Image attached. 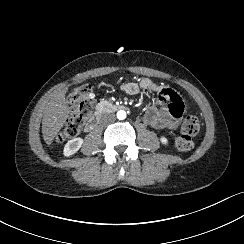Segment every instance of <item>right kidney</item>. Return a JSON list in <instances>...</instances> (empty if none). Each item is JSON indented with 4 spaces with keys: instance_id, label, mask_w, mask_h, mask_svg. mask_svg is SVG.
Listing matches in <instances>:
<instances>
[{
    "instance_id": "right-kidney-1",
    "label": "right kidney",
    "mask_w": 244,
    "mask_h": 244,
    "mask_svg": "<svg viewBox=\"0 0 244 244\" xmlns=\"http://www.w3.org/2000/svg\"><path fill=\"white\" fill-rule=\"evenodd\" d=\"M82 144H83L82 138H74L68 141L64 147V151H63L64 156L68 157L70 155H73L81 148Z\"/></svg>"
}]
</instances>
